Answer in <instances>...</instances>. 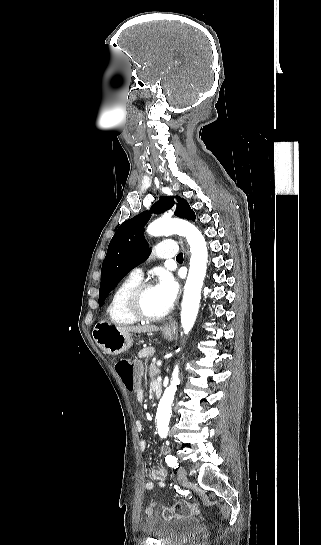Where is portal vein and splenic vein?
<instances>
[{
    "mask_svg": "<svg viewBox=\"0 0 321 545\" xmlns=\"http://www.w3.org/2000/svg\"><path fill=\"white\" fill-rule=\"evenodd\" d=\"M162 359H159L158 363H156V366H161Z\"/></svg>",
    "mask_w": 321,
    "mask_h": 545,
    "instance_id": "portal-vein-and-splenic-vein-1",
    "label": "portal vein and splenic vein"
}]
</instances>
